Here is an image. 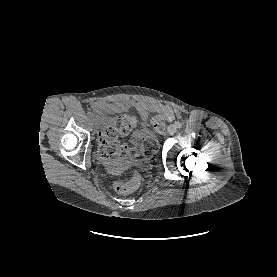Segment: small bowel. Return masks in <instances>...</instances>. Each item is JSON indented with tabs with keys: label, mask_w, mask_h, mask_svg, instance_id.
<instances>
[{
	"label": "small bowel",
	"mask_w": 277,
	"mask_h": 277,
	"mask_svg": "<svg viewBox=\"0 0 277 277\" xmlns=\"http://www.w3.org/2000/svg\"><path fill=\"white\" fill-rule=\"evenodd\" d=\"M124 105V104H122ZM113 107L112 104L106 103V102H96L93 104V110L96 114L97 119L102 122H107V116L106 112L108 109H111ZM136 109L142 116V118L146 119L148 117L149 112H154L157 114L156 118L152 119V123L155 124H163L165 121H168L175 117V112L172 108L166 105L161 104H147L143 102H138L135 104Z\"/></svg>",
	"instance_id": "c3829d8e"
}]
</instances>
